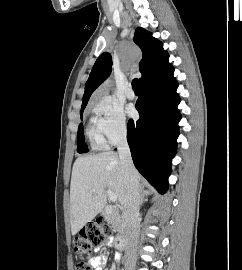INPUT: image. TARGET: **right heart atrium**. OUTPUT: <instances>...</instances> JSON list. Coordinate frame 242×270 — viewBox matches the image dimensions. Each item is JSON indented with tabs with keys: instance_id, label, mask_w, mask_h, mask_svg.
Segmentation results:
<instances>
[{
	"instance_id": "1",
	"label": "right heart atrium",
	"mask_w": 242,
	"mask_h": 270,
	"mask_svg": "<svg viewBox=\"0 0 242 270\" xmlns=\"http://www.w3.org/2000/svg\"><path fill=\"white\" fill-rule=\"evenodd\" d=\"M93 110L105 144L115 145L126 137L127 121L118 103L108 96H102L94 102Z\"/></svg>"
}]
</instances>
